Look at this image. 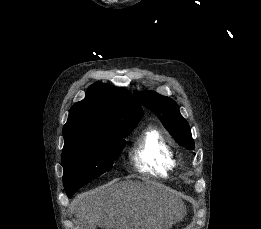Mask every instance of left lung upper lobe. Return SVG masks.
<instances>
[{
    "label": "left lung upper lobe",
    "mask_w": 261,
    "mask_h": 229,
    "mask_svg": "<svg viewBox=\"0 0 261 229\" xmlns=\"http://www.w3.org/2000/svg\"><path fill=\"white\" fill-rule=\"evenodd\" d=\"M136 100L157 115L176 142L194 149V140L187 121L181 116L177 103L169 97L152 91H134Z\"/></svg>",
    "instance_id": "1"
}]
</instances>
